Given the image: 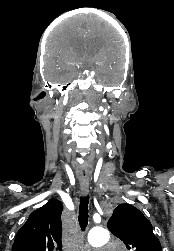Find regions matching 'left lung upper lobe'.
<instances>
[{
	"mask_svg": "<svg viewBox=\"0 0 174 251\" xmlns=\"http://www.w3.org/2000/svg\"><path fill=\"white\" fill-rule=\"evenodd\" d=\"M107 227L131 251H162L150 221L132 205L117 206Z\"/></svg>",
	"mask_w": 174,
	"mask_h": 251,
	"instance_id": "1",
	"label": "left lung upper lobe"
}]
</instances>
